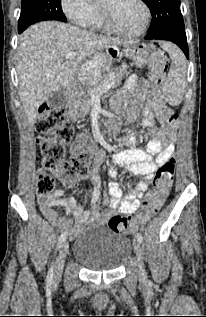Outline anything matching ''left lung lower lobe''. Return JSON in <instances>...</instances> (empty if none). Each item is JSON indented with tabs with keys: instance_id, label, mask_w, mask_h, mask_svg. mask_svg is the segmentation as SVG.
Instances as JSON below:
<instances>
[{
	"instance_id": "1",
	"label": "left lung lower lobe",
	"mask_w": 206,
	"mask_h": 317,
	"mask_svg": "<svg viewBox=\"0 0 206 317\" xmlns=\"http://www.w3.org/2000/svg\"><path fill=\"white\" fill-rule=\"evenodd\" d=\"M145 39H160V40L171 41V42L177 44L182 49V51L185 53L186 57L189 58L186 35L169 34V35H163V36L156 37V38L145 37Z\"/></svg>"
}]
</instances>
